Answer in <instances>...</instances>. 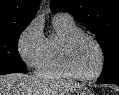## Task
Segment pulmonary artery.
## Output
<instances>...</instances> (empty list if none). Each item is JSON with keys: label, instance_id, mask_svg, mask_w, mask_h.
Masks as SVG:
<instances>
[{"label": "pulmonary artery", "instance_id": "1", "mask_svg": "<svg viewBox=\"0 0 119 95\" xmlns=\"http://www.w3.org/2000/svg\"><path fill=\"white\" fill-rule=\"evenodd\" d=\"M54 18H60V19H63V20H72V16L68 13H65V12H60V13H57Z\"/></svg>", "mask_w": 119, "mask_h": 95}]
</instances>
